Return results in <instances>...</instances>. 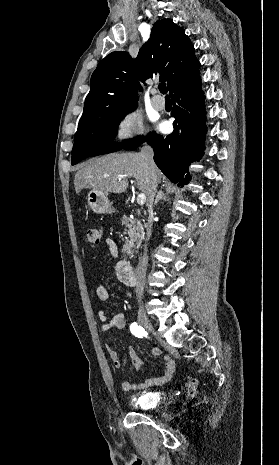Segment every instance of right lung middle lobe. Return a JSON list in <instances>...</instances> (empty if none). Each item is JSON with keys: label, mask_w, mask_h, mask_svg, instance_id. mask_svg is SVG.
I'll return each instance as SVG.
<instances>
[{"label": "right lung middle lobe", "mask_w": 279, "mask_h": 465, "mask_svg": "<svg viewBox=\"0 0 279 465\" xmlns=\"http://www.w3.org/2000/svg\"><path fill=\"white\" fill-rule=\"evenodd\" d=\"M134 109L125 111L106 110L94 121L79 125L74 138L71 164L75 165L86 157L120 150L121 147L112 143V139L115 137L120 120ZM151 135L153 133L139 140H127L125 141V148L129 149L131 146L138 147L142 141L147 140Z\"/></svg>", "instance_id": "1"}]
</instances>
